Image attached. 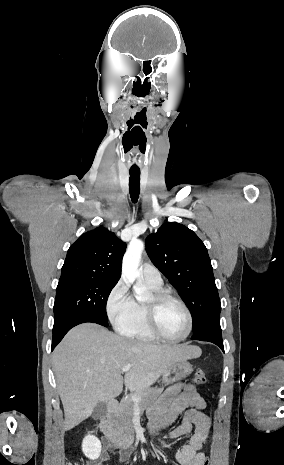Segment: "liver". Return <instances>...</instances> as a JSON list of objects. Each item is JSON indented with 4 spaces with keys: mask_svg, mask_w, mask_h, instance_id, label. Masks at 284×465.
<instances>
[{
    "mask_svg": "<svg viewBox=\"0 0 284 465\" xmlns=\"http://www.w3.org/2000/svg\"><path fill=\"white\" fill-rule=\"evenodd\" d=\"M201 355L195 345H151L95 323L74 327L53 353L65 431L88 419L100 401L121 395L123 385L129 391L149 389L175 363ZM122 367H131L124 377Z\"/></svg>",
    "mask_w": 284,
    "mask_h": 465,
    "instance_id": "liver-1",
    "label": "liver"
}]
</instances>
